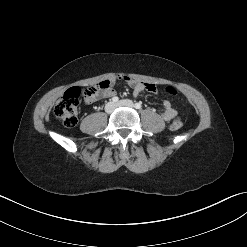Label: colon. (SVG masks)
I'll return each instance as SVG.
<instances>
[{
	"mask_svg": "<svg viewBox=\"0 0 247 247\" xmlns=\"http://www.w3.org/2000/svg\"><path fill=\"white\" fill-rule=\"evenodd\" d=\"M110 86V80H105L89 86L85 90V96L88 99L96 98L100 93L107 90ZM165 92L171 96L177 95V90L172 86L165 87ZM81 89L73 87L67 90L57 101L54 107V114L65 126L72 127L77 122L79 110V98ZM183 121L181 117H176L171 123V130L178 131L182 128Z\"/></svg>",
	"mask_w": 247,
	"mask_h": 247,
	"instance_id": "1",
	"label": "colon"
}]
</instances>
